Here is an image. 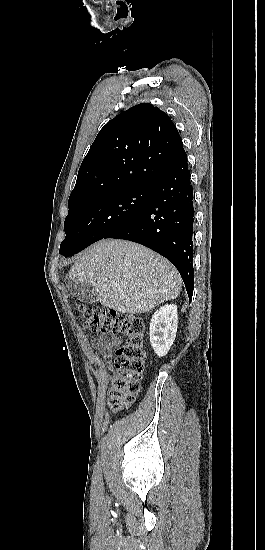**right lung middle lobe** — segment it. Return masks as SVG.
Returning <instances> with one entry per match:
<instances>
[{
  "label": "right lung middle lobe",
  "instance_id": "1",
  "mask_svg": "<svg viewBox=\"0 0 265 550\" xmlns=\"http://www.w3.org/2000/svg\"><path fill=\"white\" fill-rule=\"evenodd\" d=\"M151 190L135 187L68 204L66 237L59 253L65 257L78 253L135 219L145 209Z\"/></svg>",
  "mask_w": 265,
  "mask_h": 550
}]
</instances>
